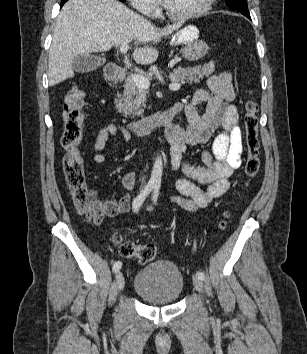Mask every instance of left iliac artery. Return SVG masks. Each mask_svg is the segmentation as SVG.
Wrapping results in <instances>:
<instances>
[{"mask_svg":"<svg viewBox=\"0 0 307 354\" xmlns=\"http://www.w3.org/2000/svg\"><path fill=\"white\" fill-rule=\"evenodd\" d=\"M159 189H160V185L159 184H156L155 187H154V191H153V194H152V200L154 202V204H156L157 202V198H158V194H159ZM196 276L201 279V280H204L205 279V275L203 272L201 271H198L196 273Z\"/></svg>","mask_w":307,"mask_h":354,"instance_id":"obj_1","label":"left iliac artery"}]
</instances>
